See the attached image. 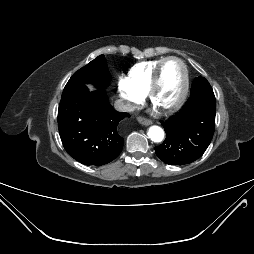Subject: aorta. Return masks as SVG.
Returning <instances> with one entry per match:
<instances>
[{"instance_id":"obj_1","label":"aorta","mask_w":254,"mask_h":254,"mask_svg":"<svg viewBox=\"0 0 254 254\" xmlns=\"http://www.w3.org/2000/svg\"><path fill=\"white\" fill-rule=\"evenodd\" d=\"M148 135L153 142H161L164 138V131L159 126H151Z\"/></svg>"}]
</instances>
